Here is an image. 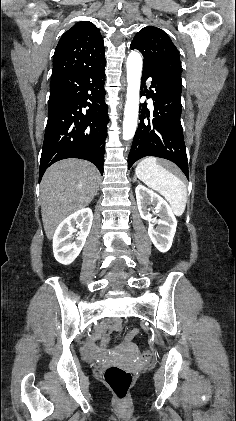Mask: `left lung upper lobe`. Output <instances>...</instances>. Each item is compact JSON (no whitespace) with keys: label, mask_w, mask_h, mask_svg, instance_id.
<instances>
[{"label":"left lung upper lobe","mask_w":236,"mask_h":421,"mask_svg":"<svg viewBox=\"0 0 236 421\" xmlns=\"http://www.w3.org/2000/svg\"><path fill=\"white\" fill-rule=\"evenodd\" d=\"M130 48L142 53L144 67L181 80L179 52L163 30L153 26L144 27L135 35Z\"/></svg>","instance_id":"obj_1"}]
</instances>
